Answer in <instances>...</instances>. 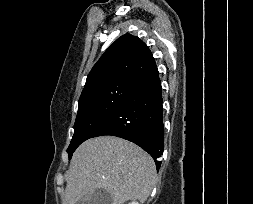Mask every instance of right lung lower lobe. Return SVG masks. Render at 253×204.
Masks as SVG:
<instances>
[{"instance_id":"obj_1","label":"right lung lower lobe","mask_w":253,"mask_h":204,"mask_svg":"<svg viewBox=\"0 0 253 204\" xmlns=\"http://www.w3.org/2000/svg\"><path fill=\"white\" fill-rule=\"evenodd\" d=\"M162 111L161 82L155 66L136 82L93 137L112 135L137 144L153 157L158 170L161 162L157 159L164 149Z\"/></svg>"}]
</instances>
